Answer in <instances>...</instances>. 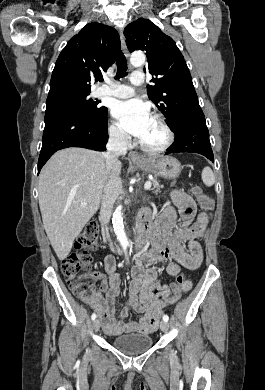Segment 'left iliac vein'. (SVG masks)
Segmentation results:
<instances>
[{
	"instance_id": "obj_1",
	"label": "left iliac vein",
	"mask_w": 265,
	"mask_h": 390,
	"mask_svg": "<svg viewBox=\"0 0 265 390\" xmlns=\"http://www.w3.org/2000/svg\"><path fill=\"white\" fill-rule=\"evenodd\" d=\"M160 329L163 331V332H167L168 329H169V324L165 321H162L160 323Z\"/></svg>"
}]
</instances>
